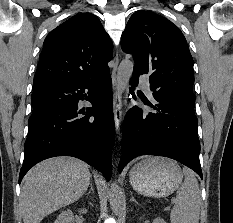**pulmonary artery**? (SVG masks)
Instances as JSON below:
<instances>
[{"label":"pulmonary artery","mask_w":233,"mask_h":223,"mask_svg":"<svg viewBox=\"0 0 233 223\" xmlns=\"http://www.w3.org/2000/svg\"><path fill=\"white\" fill-rule=\"evenodd\" d=\"M140 85L148 95H152L150 88V74H139Z\"/></svg>","instance_id":"e3ab8cb5"}]
</instances>
